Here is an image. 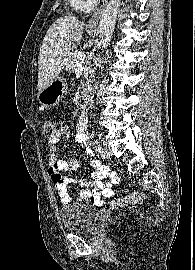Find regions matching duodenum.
<instances>
[{
  "mask_svg": "<svg viewBox=\"0 0 195 270\" xmlns=\"http://www.w3.org/2000/svg\"><path fill=\"white\" fill-rule=\"evenodd\" d=\"M89 96H90V84L87 85V87L85 88V90L83 91L81 95V98H80L81 106L85 107L88 105Z\"/></svg>",
  "mask_w": 195,
  "mask_h": 270,
  "instance_id": "duodenum-1",
  "label": "duodenum"
}]
</instances>
